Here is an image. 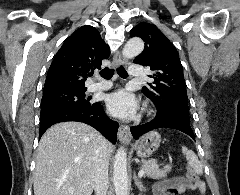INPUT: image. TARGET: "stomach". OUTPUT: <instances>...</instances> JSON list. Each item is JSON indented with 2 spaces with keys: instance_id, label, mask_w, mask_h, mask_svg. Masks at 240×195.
Returning a JSON list of instances; mask_svg holds the SVG:
<instances>
[{
  "instance_id": "1",
  "label": "stomach",
  "mask_w": 240,
  "mask_h": 195,
  "mask_svg": "<svg viewBox=\"0 0 240 195\" xmlns=\"http://www.w3.org/2000/svg\"><path fill=\"white\" fill-rule=\"evenodd\" d=\"M161 143V135L158 131H148L141 135L140 139H137L132 149H135L139 157H150L154 151H157Z\"/></svg>"
}]
</instances>
